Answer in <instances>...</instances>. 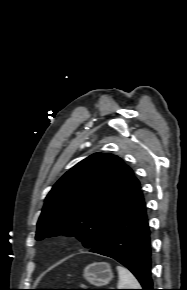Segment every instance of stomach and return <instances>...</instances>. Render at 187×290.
<instances>
[{"instance_id": "0dacf381", "label": "stomach", "mask_w": 187, "mask_h": 290, "mask_svg": "<svg viewBox=\"0 0 187 290\" xmlns=\"http://www.w3.org/2000/svg\"><path fill=\"white\" fill-rule=\"evenodd\" d=\"M84 278L95 286L107 285L113 278L111 267L105 262H96L85 267Z\"/></svg>"}]
</instances>
